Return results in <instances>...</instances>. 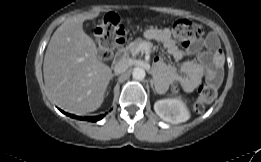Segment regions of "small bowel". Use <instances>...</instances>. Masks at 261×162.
<instances>
[{
	"instance_id": "1",
	"label": "small bowel",
	"mask_w": 261,
	"mask_h": 162,
	"mask_svg": "<svg viewBox=\"0 0 261 162\" xmlns=\"http://www.w3.org/2000/svg\"><path fill=\"white\" fill-rule=\"evenodd\" d=\"M147 36L159 42L175 59L183 57V52L177 47L168 28L151 29ZM188 52L196 56L197 61L183 63L179 72L167 65L163 58L158 57L155 64L161 75L167 76L168 81L178 82L186 92H192L202 78L218 86L223 78L224 54L216 36L208 35L204 40L194 41Z\"/></svg>"
}]
</instances>
